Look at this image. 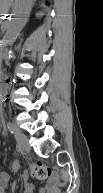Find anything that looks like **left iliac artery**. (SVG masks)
<instances>
[{"label":"left iliac artery","instance_id":"obj_1","mask_svg":"<svg viewBox=\"0 0 103 193\" xmlns=\"http://www.w3.org/2000/svg\"><path fill=\"white\" fill-rule=\"evenodd\" d=\"M7 128L11 133H16L17 128L11 123V122H7Z\"/></svg>","mask_w":103,"mask_h":193}]
</instances>
